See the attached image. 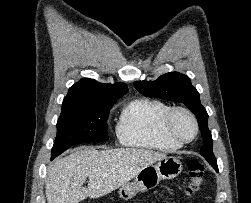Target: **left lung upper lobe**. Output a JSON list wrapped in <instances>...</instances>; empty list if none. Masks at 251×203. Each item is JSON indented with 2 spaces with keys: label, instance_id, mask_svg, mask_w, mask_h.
Returning a JSON list of instances; mask_svg holds the SVG:
<instances>
[{
  "label": "left lung upper lobe",
  "instance_id": "left-lung-upper-lobe-1",
  "mask_svg": "<svg viewBox=\"0 0 251 203\" xmlns=\"http://www.w3.org/2000/svg\"><path fill=\"white\" fill-rule=\"evenodd\" d=\"M135 88L147 97H156L184 103L197 117L204 145L200 154L216 169L217 162L212 150V136L208 129V114L201 105L200 96L188 76L170 72L155 81H137Z\"/></svg>",
  "mask_w": 251,
  "mask_h": 203
}]
</instances>
